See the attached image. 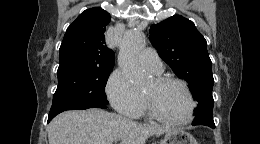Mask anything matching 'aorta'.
<instances>
[{
    "label": "aorta",
    "instance_id": "1",
    "mask_svg": "<svg viewBox=\"0 0 260 144\" xmlns=\"http://www.w3.org/2000/svg\"><path fill=\"white\" fill-rule=\"evenodd\" d=\"M118 65L124 76L134 85H140L148 75L138 64V56L144 47V36L138 30L123 33L119 42Z\"/></svg>",
    "mask_w": 260,
    "mask_h": 144
}]
</instances>
